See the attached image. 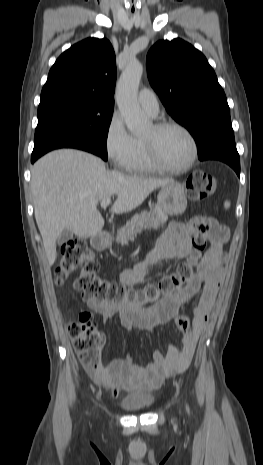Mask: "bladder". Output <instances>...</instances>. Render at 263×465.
I'll return each instance as SVG.
<instances>
[{"instance_id": "1", "label": "bladder", "mask_w": 263, "mask_h": 465, "mask_svg": "<svg viewBox=\"0 0 263 465\" xmlns=\"http://www.w3.org/2000/svg\"><path fill=\"white\" fill-rule=\"evenodd\" d=\"M155 402V397L146 391H137L126 395L120 401V407L130 413L142 412L149 409Z\"/></svg>"}]
</instances>
